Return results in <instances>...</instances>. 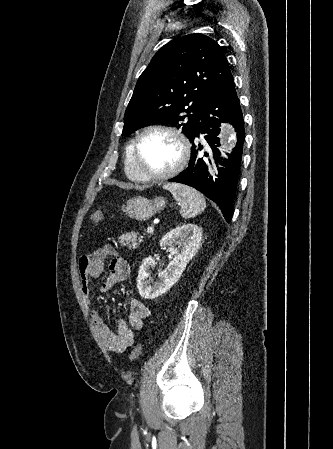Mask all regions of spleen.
<instances>
[{"instance_id": "1", "label": "spleen", "mask_w": 333, "mask_h": 449, "mask_svg": "<svg viewBox=\"0 0 333 449\" xmlns=\"http://www.w3.org/2000/svg\"><path fill=\"white\" fill-rule=\"evenodd\" d=\"M163 188L172 193L180 205V213L183 218L195 217L206 207L203 195L192 187L180 183H168Z\"/></svg>"}]
</instances>
